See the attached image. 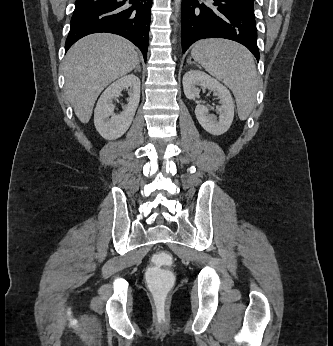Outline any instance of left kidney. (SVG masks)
<instances>
[{"label": "left kidney", "mask_w": 333, "mask_h": 346, "mask_svg": "<svg viewBox=\"0 0 333 346\" xmlns=\"http://www.w3.org/2000/svg\"><path fill=\"white\" fill-rule=\"evenodd\" d=\"M213 91L220 99L221 106L217 107L219 120L209 114V109L198 104L195 115L200 125L212 135H222L231 126L234 118V103L229 90L216 79L199 70H190L183 77L184 94L188 99H194L200 92L197 87Z\"/></svg>", "instance_id": "5707ae66"}]
</instances>
